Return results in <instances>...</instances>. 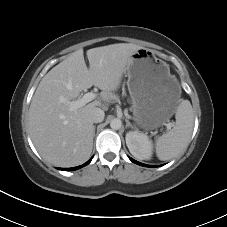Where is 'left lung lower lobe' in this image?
I'll return each instance as SVG.
<instances>
[{"label":"left lung lower lobe","instance_id":"0a47b994","mask_svg":"<svg viewBox=\"0 0 227 227\" xmlns=\"http://www.w3.org/2000/svg\"><path fill=\"white\" fill-rule=\"evenodd\" d=\"M130 160H131L132 162L138 164V165H141V166H145V167H156V166H151V165L142 164V163H140V162H138V161L133 160L132 158H130Z\"/></svg>","mask_w":227,"mask_h":227}]
</instances>
